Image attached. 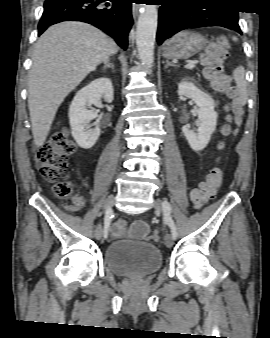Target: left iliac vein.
Here are the masks:
<instances>
[{
    "label": "left iliac vein",
    "instance_id": "obj_1",
    "mask_svg": "<svg viewBox=\"0 0 270 338\" xmlns=\"http://www.w3.org/2000/svg\"><path fill=\"white\" fill-rule=\"evenodd\" d=\"M162 204H163V202H162L161 199H159V198L155 199V201H154V209H155L156 212H160L162 210ZM164 243H165V245L167 247H172V245H173V238H172V236L170 234H167L165 236Z\"/></svg>",
    "mask_w": 270,
    "mask_h": 338
}]
</instances>
